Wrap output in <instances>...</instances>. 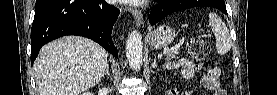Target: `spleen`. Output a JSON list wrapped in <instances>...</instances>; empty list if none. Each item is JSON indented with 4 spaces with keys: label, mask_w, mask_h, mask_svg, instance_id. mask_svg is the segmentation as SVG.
<instances>
[{
    "label": "spleen",
    "mask_w": 277,
    "mask_h": 95,
    "mask_svg": "<svg viewBox=\"0 0 277 95\" xmlns=\"http://www.w3.org/2000/svg\"><path fill=\"white\" fill-rule=\"evenodd\" d=\"M209 25L215 35L217 53L220 55L228 53L231 49L232 42L226 24L217 14L210 13Z\"/></svg>",
    "instance_id": "spleen-1"
}]
</instances>
